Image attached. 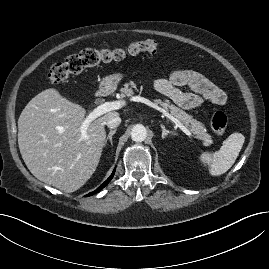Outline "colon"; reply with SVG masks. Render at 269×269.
I'll return each instance as SVG.
<instances>
[{
  "instance_id": "colon-1",
  "label": "colon",
  "mask_w": 269,
  "mask_h": 269,
  "mask_svg": "<svg viewBox=\"0 0 269 269\" xmlns=\"http://www.w3.org/2000/svg\"><path fill=\"white\" fill-rule=\"evenodd\" d=\"M156 51L157 43L153 39L131 41L124 47L85 49L78 54L69 56L65 61L53 65L49 71V80L53 84H58L86 68L101 63L121 61L127 56L141 53L154 54ZM227 122V115L223 111L217 110L212 113L210 124L216 135L221 136L225 133Z\"/></svg>"
}]
</instances>
